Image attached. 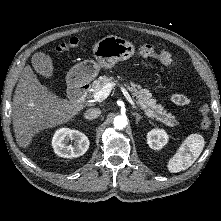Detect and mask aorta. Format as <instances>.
Instances as JSON below:
<instances>
[{
	"mask_svg": "<svg viewBox=\"0 0 221 221\" xmlns=\"http://www.w3.org/2000/svg\"><path fill=\"white\" fill-rule=\"evenodd\" d=\"M114 127L116 128V129H119V130H121V129H123V128H125L126 127V125H127V119H126V117L125 116H116L115 118H114Z\"/></svg>",
	"mask_w": 221,
	"mask_h": 221,
	"instance_id": "1",
	"label": "aorta"
}]
</instances>
